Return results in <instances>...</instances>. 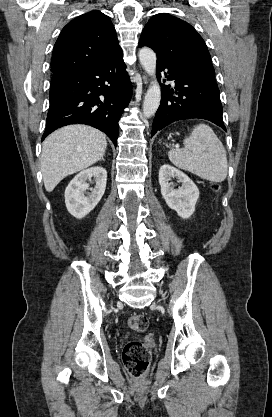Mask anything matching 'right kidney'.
<instances>
[{
    "label": "right kidney",
    "instance_id": "obj_1",
    "mask_svg": "<svg viewBox=\"0 0 272 417\" xmlns=\"http://www.w3.org/2000/svg\"><path fill=\"white\" fill-rule=\"evenodd\" d=\"M95 179V187L89 188L88 179ZM107 171L103 167H91L77 174L66 187L65 203L68 212L81 219L89 214L101 200L106 189ZM90 190L91 193L86 191Z\"/></svg>",
    "mask_w": 272,
    "mask_h": 417
}]
</instances>
